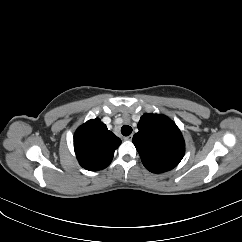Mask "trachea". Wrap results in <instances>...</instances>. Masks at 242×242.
<instances>
[{
    "label": "trachea",
    "mask_w": 242,
    "mask_h": 242,
    "mask_svg": "<svg viewBox=\"0 0 242 242\" xmlns=\"http://www.w3.org/2000/svg\"><path fill=\"white\" fill-rule=\"evenodd\" d=\"M121 133L124 136H129L132 133V128L130 126H128V125H124L121 128Z\"/></svg>",
    "instance_id": "3493384b"
}]
</instances>
